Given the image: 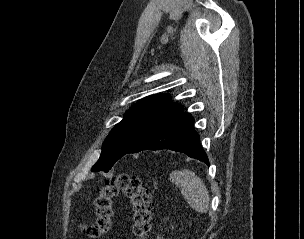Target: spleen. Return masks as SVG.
<instances>
[{
    "label": "spleen",
    "instance_id": "3e777b00",
    "mask_svg": "<svg viewBox=\"0 0 304 239\" xmlns=\"http://www.w3.org/2000/svg\"><path fill=\"white\" fill-rule=\"evenodd\" d=\"M170 180L180 186L181 194L188 204L199 213L209 210V193L203 181L191 170L175 171Z\"/></svg>",
    "mask_w": 304,
    "mask_h": 239
}]
</instances>
